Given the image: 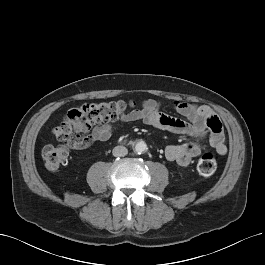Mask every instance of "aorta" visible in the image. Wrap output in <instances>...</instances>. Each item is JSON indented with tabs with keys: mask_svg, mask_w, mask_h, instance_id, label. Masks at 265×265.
Returning a JSON list of instances; mask_svg holds the SVG:
<instances>
[{
	"mask_svg": "<svg viewBox=\"0 0 265 265\" xmlns=\"http://www.w3.org/2000/svg\"><path fill=\"white\" fill-rule=\"evenodd\" d=\"M147 149V144L144 141H138L134 146V150L137 153H144Z\"/></svg>",
	"mask_w": 265,
	"mask_h": 265,
	"instance_id": "762f6f07",
	"label": "aorta"
}]
</instances>
